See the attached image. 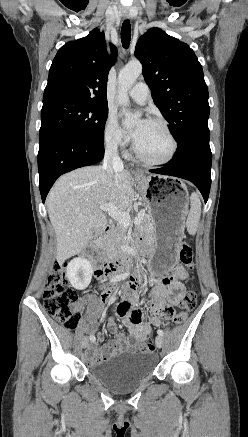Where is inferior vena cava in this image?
<instances>
[{
    "label": "inferior vena cava",
    "mask_w": 248,
    "mask_h": 437,
    "mask_svg": "<svg viewBox=\"0 0 248 437\" xmlns=\"http://www.w3.org/2000/svg\"><path fill=\"white\" fill-rule=\"evenodd\" d=\"M102 168L109 176H111L114 171L123 170V162L119 157L116 143L113 142L106 145Z\"/></svg>",
    "instance_id": "inferior-vena-cava-1"
}]
</instances>
